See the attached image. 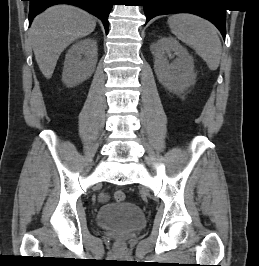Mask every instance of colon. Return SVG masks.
Instances as JSON below:
<instances>
[{"label": "colon", "mask_w": 259, "mask_h": 266, "mask_svg": "<svg viewBox=\"0 0 259 266\" xmlns=\"http://www.w3.org/2000/svg\"><path fill=\"white\" fill-rule=\"evenodd\" d=\"M114 198L117 202H123L126 198V194L124 191L118 190L114 193Z\"/></svg>", "instance_id": "colon-1"}]
</instances>
